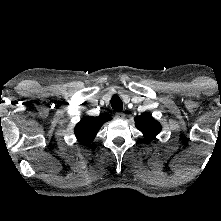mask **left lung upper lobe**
I'll use <instances>...</instances> for the list:
<instances>
[{
    "label": "left lung upper lobe",
    "mask_w": 221,
    "mask_h": 221,
    "mask_svg": "<svg viewBox=\"0 0 221 221\" xmlns=\"http://www.w3.org/2000/svg\"><path fill=\"white\" fill-rule=\"evenodd\" d=\"M135 126L140 130L146 139H154L161 131L160 123L150 114H142L135 117Z\"/></svg>",
    "instance_id": "obj_1"
}]
</instances>
